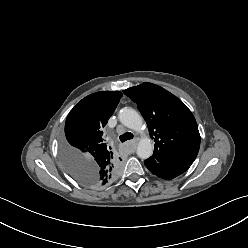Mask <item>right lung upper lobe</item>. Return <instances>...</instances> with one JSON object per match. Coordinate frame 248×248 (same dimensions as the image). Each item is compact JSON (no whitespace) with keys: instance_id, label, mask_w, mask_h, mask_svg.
<instances>
[{"instance_id":"1","label":"right lung upper lobe","mask_w":248,"mask_h":248,"mask_svg":"<svg viewBox=\"0 0 248 248\" xmlns=\"http://www.w3.org/2000/svg\"><path fill=\"white\" fill-rule=\"evenodd\" d=\"M122 93L100 91L82 99L68 114L65 123L66 145L61 158L79 159L92 175L89 186L100 187L113 181L119 172L118 158L103 138V128L117 107Z\"/></svg>"}]
</instances>
